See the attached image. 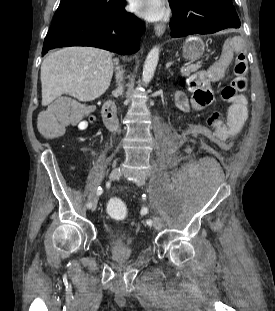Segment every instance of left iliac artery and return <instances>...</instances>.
I'll list each match as a JSON object with an SVG mask.
<instances>
[{
    "label": "left iliac artery",
    "instance_id": "obj_1",
    "mask_svg": "<svg viewBox=\"0 0 275 311\" xmlns=\"http://www.w3.org/2000/svg\"><path fill=\"white\" fill-rule=\"evenodd\" d=\"M147 223H148V224H151V223H152V221H151V220H148V221H147Z\"/></svg>",
    "mask_w": 275,
    "mask_h": 311
}]
</instances>
